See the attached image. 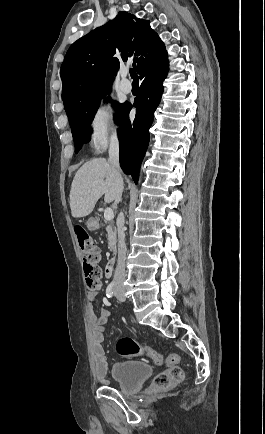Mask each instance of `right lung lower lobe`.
Wrapping results in <instances>:
<instances>
[{
    "mask_svg": "<svg viewBox=\"0 0 265 434\" xmlns=\"http://www.w3.org/2000/svg\"><path fill=\"white\" fill-rule=\"evenodd\" d=\"M168 72L167 52L147 60L140 70L143 80L139 95L133 105L128 106L120 123V165L124 173L131 175L135 182L138 179L140 164L149 143V128L153 121V113L159 105L163 92L162 82ZM136 108V118L131 124L129 112Z\"/></svg>",
    "mask_w": 265,
    "mask_h": 434,
    "instance_id": "obj_1",
    "label": "right lung lower lobe"
}]
</instances>
